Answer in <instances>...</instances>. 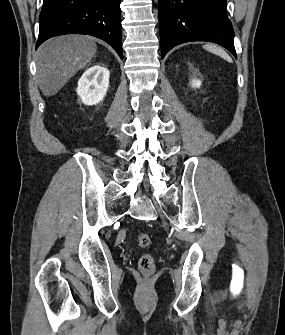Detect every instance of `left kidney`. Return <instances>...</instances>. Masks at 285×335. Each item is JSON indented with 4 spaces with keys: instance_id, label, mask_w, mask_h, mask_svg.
Wrapping results in <instances>:
<instances>
[{
    "instance_id": "1",
    "label": "left kidney",
    "mask_w": 285,
    "mask_h": 335,
    "mask_svg": "<svg viewBox=\"0 0 285 335\" xmlns=\"http://www.w3.org/2000/svg\"><path fill=\"white\" fill-rule=\"evenodd\" d=\"M200 86H201L200 80H193L192 88H200Z\"/></svg>"
}]
</instances>
